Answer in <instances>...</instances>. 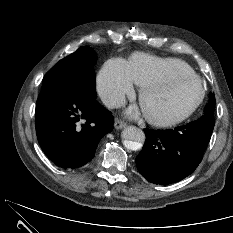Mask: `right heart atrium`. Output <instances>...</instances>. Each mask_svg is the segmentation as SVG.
<instances>
[{
	"label": "right heart atrium",
	"instance_id": "obj_1",
	"mask_svg": "<svg viewBox=\"0 0 233 233\" xmlns=\"http://www.w3.org/2000/svg\"><path fill=\"white\" fill-rule=\"evenodd\" d=\"M96 93L108 108L121 106L134 94V83L124 60H108L99 70L95 80Z\"/></svg>",
	"mask_w": 233,
	"mask_h": 233
}]
</instances>
